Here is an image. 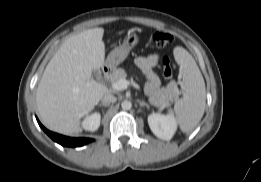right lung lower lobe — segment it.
Listing matches in <instances>:
<instances>
[{
	"instance_id": "obj_1",
	"label": "right lung lower lobe",
	"mask_w": 261,
	"mask_h": 182,
	"mask_svg": "<svg viewBox=\"0 0 261 182\" xmlns=\"http://www.w3.org/2000/svg\"><path fill=\"white\" fill-rule=\"evenodd\" d=\"M37 121L40 125V127L43 129V131L45 133H47V135L52 138L55 142L61 144L62 146H67V147H79V146H83L86 143L92 141L91 139H84V138H71V137H66V136H62L59 135L57 133H53L49 130H47L38 120Z\"/></svg>"
}]
</instances>
